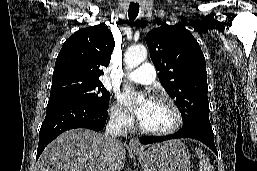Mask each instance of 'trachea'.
<instances>
[{"label":"trachea","mask_w":257,"mask_h":171,"mask_svg":"<svg viewBox=\"0 0 257 171\" xmlns=\"http://www.w3.org/2000/svg\"><path fill=\"white\" fill-rule=\"evenodd\" d=\"M138 13H139V4L131 3L129 5V11H128L130 21L135 20L136 17L138 16Z\"/></svg>","instance_id":"trachea-1"}]
</instances>
